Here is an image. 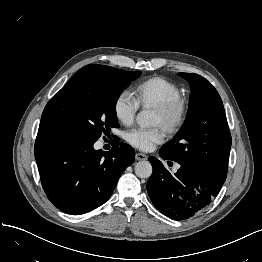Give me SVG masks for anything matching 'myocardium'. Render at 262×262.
Masks as SVG:
<instances>
[{"mask_svg":"<svg viewBox=\"0 0 262 262\" xmlns=\"http://www.w3.org/2000/svg\"><path fill=\"white\" fill-rule=\"evenodd\" d=\"M162 118V126L170 133L179 131L189 117L188 101L182 97L163 102L155 107Z\"/></svg>","mask_w":262,"mask_h":262,"instance_id":"myocardium-1","label":"myocardium"}]
</instances>
